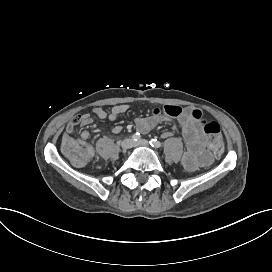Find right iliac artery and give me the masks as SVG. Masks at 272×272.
<instances>
[{"label":"right iliac artery","instance_id":"82829eb1","mask_svg":"<svg viewBox=\"0 0 272 272\" xmlns=\"http://www.w3.org/2000/svg\"><path fill=\"white\" fill-rule=\"evenodd\" d=\"M141 139V135L139 132H136L132 135V140L133 141H139Z\"/></svg>","mask_w":272,"mask_h":272}]
</instances>
